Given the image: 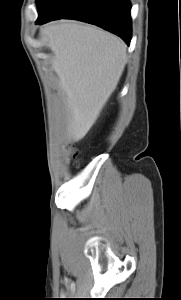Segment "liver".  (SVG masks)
Masks as SVG:
<instances>
[{"label":"liver","instance_id":"6515ba94","mask_svg":"<svg viewBox=\"0 0 181 300\" xmlns=\"http://www.w3.org/2000/svg\"><path fill=\"white\" fill-rule=\"evenodd\" d=\"M42 34L66 99L68 137L78 142L116 89L127 62V46L111 33L74 21L49 24Z\"/></svg>","mask_w":181,"mask_h":300}]
</instances>
